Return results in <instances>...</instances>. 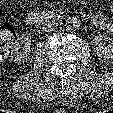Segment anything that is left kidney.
<instances>
[{
  "label": "left kidney",
  "instance_id": "5707ae66",
  "mask_svg": "<svg viewBox=\"0 0 113 113\" xmlns=\"http://www.w3.org/2000/svg\"><path fill=\"white\" fill-rule=\"evenodd\" d=\"M94 50L98 57L113 59V39L107 35H97L94 38Z\"/></svg>",
  "mask_w": 113,
  "mask_h": 113
}]
</instances>
